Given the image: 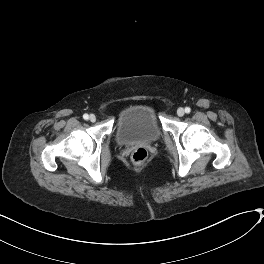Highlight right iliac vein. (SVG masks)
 <instances>
[{
  "label": "right iliac vein",
  "mask_w": 264,
  "mask_h": 264,
  "mask_svg": "<svg viewBox=\"0 0 264 264\" xmlns=\"http://www.w3.org/2000/svg\"><path fill=\"white\" fill-rule=\"evenodd\" d=\"M89 120L91 122H95L96 121V116L94 114H91L90 117H89Z\"/></svg>",
  "instance_id": "63e3f726"
}]
</instances>
